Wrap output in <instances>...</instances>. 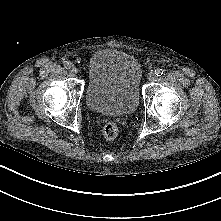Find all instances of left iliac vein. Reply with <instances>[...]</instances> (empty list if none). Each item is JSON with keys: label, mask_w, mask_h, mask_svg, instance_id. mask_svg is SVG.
<instances>
[{"label": "left iliac vein", "mask_w": 221, "mask_h": 221, "mask_svg": "<svg viewBox=\"0 0 221 221\" xmlns=\"http://www.w3.org/2000/svg\"><path fill=\"white\" fill-rule=\"evenodd\" d=\"M156 79V74L154 72H150L148 74V80L149 81H154Z\"/></svg>", "instance_id": "left-iliac-vein-1"}]
</instances>
